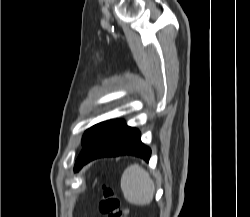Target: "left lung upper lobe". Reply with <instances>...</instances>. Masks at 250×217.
<instances>
[{"instance_id": "5c2ea615", "label": "left lung upper lobe", "mask_w": 250, "mask_h": 217, "mask_svg": "<svg viewBox=\"0 0 250 217\" xmlns=\"http://www.w3.org/2000/svg\"><path fill=\"white\" fill-rule=\"evenodd\" d=\"M106 122L99 123L88 129L82 139L83 147L90 141V139L95 135V133L105 124Z\"/></svg>"}]
</instances>
